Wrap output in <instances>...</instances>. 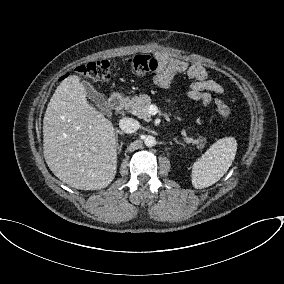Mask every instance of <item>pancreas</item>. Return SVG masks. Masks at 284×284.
<instances>
[{"mask_svg": "<svg viewBox=\"0 0 284 284\" xmlns=\"http://www.w3.org/2000/svg\"><path fill=\"white\" fill-rule=\"evenodd\" d=\"M151 104V98L147 94H140L139 96L127 98L125 108L133 115H136L138 118L149 121L151 120V115L149 113V107L151 106ZM183 136V139L186 143L195 144L197 145L198 149H203L207 143L205 137L193 139V137L186 136L185 133H183Z\"/></svg>", "mask_w": 284, "mask_h": 284, "instance_id": "cf45deb5", "label": "pancreas"}]
</instances>
